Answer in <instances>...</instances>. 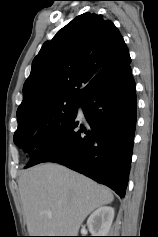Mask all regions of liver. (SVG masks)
<instances>
[{
  "mask_svg": "<svg viewBox=\"0 0 158 237\" xmlns=\"http://www.w3.org/2000/svg\"><path fill=\"white\" fill-rule=\"evenodd\" d=\"M18 186L30 236H77L85 218L114 199L109 188L54 163L23 171Z\"/></svg>",
  "mask_w": 158,
  "mask_h": 237,
  "instance_id": "1",
  "label": "liver"
}]
</instances>
